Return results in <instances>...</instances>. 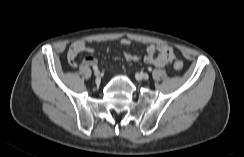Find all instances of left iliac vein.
Listing matches in <instances>:
<instances>
[{
  "instance_id": "1",
  "label": "left iliac vein",
  "mask_w": 244,
  "mask_h": 157,
  "mask_svg": "<svg viewBox=\"0 0 244 157\" xmlns=\"http://www.w3.org/2000/svg\"><path fill=\"white\" fill-rule=\"evenodd\" d=\"M141 79L142 80H148L149 79V75L147 73H141Z\"/></svg>"
}]
</instances>
